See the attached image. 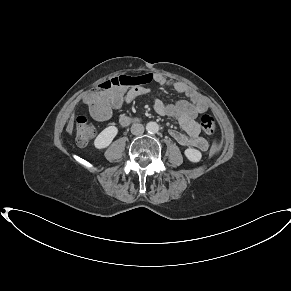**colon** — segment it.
Wrapping results in <instances>:
<instances>
[{
	"label": "colon",
	"mask_w": 291,
	"mask_h": 291,
	"mask_svg": "<svg viewBox=\"0 0 291 291\" xmlns=\"http://www.w3.org/2000/svg\"><path fill=\"white\" fill-rule=\"evenodd\" d=\"M140 79L131 76H118L106 80L97 85L95 93L101 96L104 92L117 89L126 88L136 84ZM200 124L203 131L208 135H215L218 127L216 119L210 114H204L200 118ZM76 140L80 145L89 143L95 136V128L91 125L87 118L78 116L75 120Z\"/></svg>",
	"instance_id": "5ec220e1"
}]
</instances>
